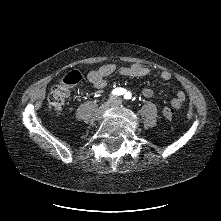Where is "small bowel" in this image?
Returning a JSON list of instances; mask_svg holds the SVG:
<instances>
[{
    "label": "small bowel",
    "instance_id": "1",
    "mask_svg": "<svg viewBox=\"0 0 221 221\" xmlns=\"http://www.w3.org/2000/svg\"><path fill=\"white\" fill-rule=\"evenodd\" d=\"M149 69L140 64H132L130 66L118 68L114 64H105L97 69L90 71L87 75L88 81L91 82L96 89H102L106 86V79L113 75L114 73H119L120 75L140 78L149 74ZM161 78L165 81L172 79V75L169 71H162L160 74ZM143 96L150 98L153 96L154 92L150 88H144L142 90ZM186 95L183 91H178L176 97L172 100L171 105L175 110H180L182 108L183 102Z\"/></svg>",
    "mask_w": 221,
    "mask_h": 221
}]
</instances>
